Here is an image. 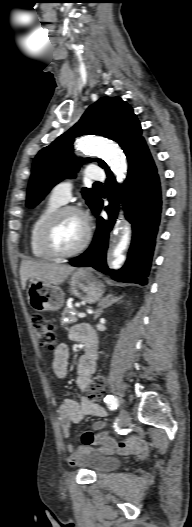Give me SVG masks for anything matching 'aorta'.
Returning a JSON list of instances; mask_svg holds the SVG:
<instances>
[{"label":"aorta","instance_id":"1","mask_svg":"<svg viewBox=\"0 0 192 527\" xmlns=\"http://www.w3.org/2000/svg\"><path fill=\"white\" fill-rule=\"evenodd\" d=\"M78 147L86 153L102 156L111 167V170L116 176L117 181H123L126 173V161L122 150L117 145L110 141L90 136L81 139ZM119 223L120 221L118 220L114 230L115 236L120 234ZM127 245L128 241L125 242L123 249H125ZM124 259L125 257L121 255L116 265L117 268L121 266V264L124 262Z\"/></svg>","mask_w":192,"mask_h":527}]
</instances>
